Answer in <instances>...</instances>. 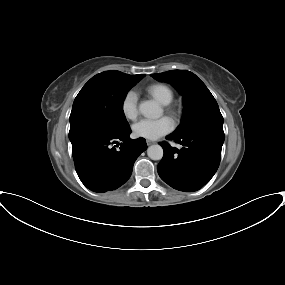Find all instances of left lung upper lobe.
<instances>
[{
  "instance_id": "left-lung-upper-lobe-1",
  "label": "left lung upper lobe",
  "mask_w": 285,
  "mask_h": 285,
  "mask_svg": "<svg viewBox=\"0 0 285 285\" xmlns=\"http://www.w3.org/2000/svg\"><path fill=\"white\" fill-rule=\"evenodd\" d=\"M159 81L171 83L184 98V115L173 134L183 136L211 128L223 131V117L218 104L205 84L193 73L171 70L153 74Z\"/></svg>"
}]
</instances>
